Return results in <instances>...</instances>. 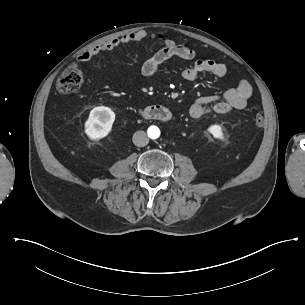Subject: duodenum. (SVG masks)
Wrapping results in <instances>:
<instances>
[{
  "mask_svg": "<svg viewBox=\"0 0 305 305\" xmlns=\"http://www.w3.org/2000/svg\"><path fill=\"white\" fill-rule=\"evenodd\" d=\"M140 116L147 121L168 122L170 119L169 111L159 105L145 106L139 109Z\"/></svg>",
  "mask_w": 305,
  "mask_h": 305,
  "instance_id": "410a0bca",
  "label": "duodenum"
}]
</instances>
